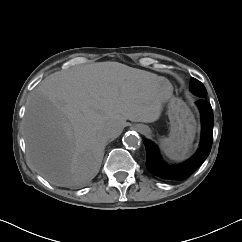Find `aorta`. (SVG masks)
Here are the masks:
<instances>
[{"mask_svg":"<svg viewBox=\"0 0 242 242\" xmlns=\"http://www.w3.org/2000/svg\"><path fill=\"white\" fill-rule=\"evenodd\" d=\"M123 143L129 148H136L140 146L141 138L136 133L128 132L123 138Z\"/></svg>","mask_w":242,"mask_h":242,"instance_id":"1","label":"aorta"}]
</instances>
